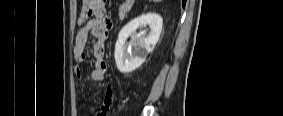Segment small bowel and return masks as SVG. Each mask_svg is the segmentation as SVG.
I'll use <instances>...</instances> for the list:
<instances>
[{"mask_svg":"<svg viewBox=\"0 0 283 116\" xmlns=\"http://www.w3.org/2000/svg\"><path fill=\"white\" fill-rule=\"evenodd\" d=\"M104 2L105 1L103 0L83 1V9L79 18V24L82 26L76 34L73 48L75 59L79 63L75 69V73L79 78H82L84 72L81 65L87 58L85 50L88 38L90 35L93 37L94 44L92 52L94 67L90 74V78L93 82H102L107 71V65L104 59V46L112 23L106 13ZM113 97V86L108 84L105 90L103 103L101 107L94 112V115L107 116L112 105ZM80 104H86V100L81 99Z\"/></svg>","mask_w":283,"mask_h":116,"instance_id":"1","label":"small bowel"}]
</instances>
